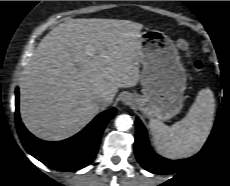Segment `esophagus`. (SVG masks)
Segmentation results:
<instances>
[{"label":"esophagus","instance_id":"1","mask_svg":"<svg viewBox=\"0 0 230 186\" xmlns=\"http://www.w3.org/2000/svg\"><path fill=\"white\" fill-rule=\"evenodd\" d=\"M123 102L125 104H132V99L126 96V97L123 98Z\"/></svg>","mask_w":230,"mask_h":186}]
</instances>
